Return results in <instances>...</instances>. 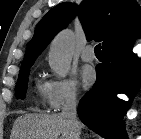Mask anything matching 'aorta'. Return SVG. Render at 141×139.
<instances>
[{"label": "aorta", "mask_w": 141, "mask_h": 139, "mask_svg": "<svg viewBox=\"0 0 141 139\" xmlns=\"http://www.w3.org/2000/svg\"><path fill=\"white\" fill-rule=\"evenodd\" d=\"M74 49V37L70 30H63L52 41L49 50V64L58 77L67 75Z\"/></svg>", "instance_id": "762f6f07"}]
</instances>
